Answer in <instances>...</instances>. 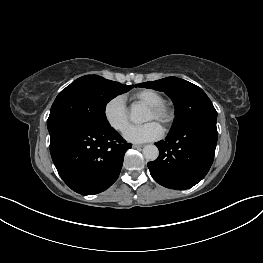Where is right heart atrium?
<instances>
[{
	"instance_id": "obj_1",
	"label": "right heart atrium",
	"mask_w": 263,
	"mask_h": 263,
	"mask_svg": "<svg viewBox=\"0 0 263 263\" xmlns=\"http://www.w3.org/2000/svg\"><path fill=\"white\" fill-rule=\"evenodd\" d=\"M103 115L108 125L117 132H123L129 124V114L123 95L110 98L104 105Z\"/></svg>"
}]
</instances>
